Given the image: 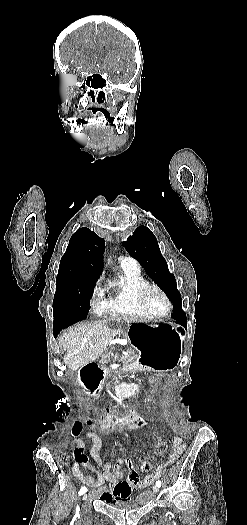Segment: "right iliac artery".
<instances>
[{"mask_svg": "<svg viewBox=\"0 0 247 525\" xmlns=\"http://www.w3.org/2000/svg\"><path fill=\"white\" fill-rule=\"evenodd\" d=\"M87 491V488L85 486H83L80 491H79V495H82L84 494L85 492Z\"/></svg>", "mask_w": 247, "mask_h": 525, "instance_id": "82829eb1", "label": "right iliac artery"}]
</instances>
